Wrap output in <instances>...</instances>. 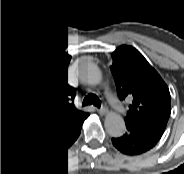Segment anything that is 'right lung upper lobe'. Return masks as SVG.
<instances>
[{
    "mask_svg": "<svg viewBox=\"0 0 184 174\" xmlns=\"http://www.w3.org/2000/svg\"><path fill=\"white\" fill-rule=\"evenodd\" d=\"M68 63L59 53L44 56L19 93L20 125L34 143L57 136L85 116L74 107L76 92L65 77Z\"/></svg>",
    "mask_w": 184,
    "mask_h": 174,
    "instance_id": "cb5924a9",
    "label": "right lung upper lobe"
}]
</instances>
